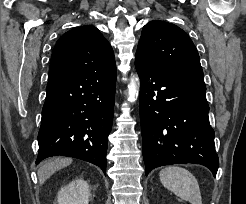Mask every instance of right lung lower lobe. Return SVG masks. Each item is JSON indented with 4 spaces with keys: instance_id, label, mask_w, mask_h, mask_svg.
<instances>
[{
    "instance_id": "1",
    "label": "right lung lower lobe",
    "mask_w": 246,
    "mask_h": 204,
    "mask_svg": "<svg viewBox=\"0 0 246 204\" xmlns=\"http://www.w3.org/2000/svg\"><path fill=\"white\" fill-rule=\"evenodd\" d=\"M115 87L116 69L49 79L36 164L63 155L93 163L106 174Z\"/></svg>"
}]
</instances>
